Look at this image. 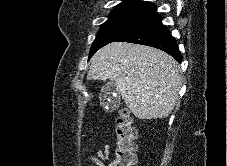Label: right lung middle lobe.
Returning a JSON list of instances; mask_svg holds the SVG:
<instances>
[{"label":"right lung middle lobe","mask_w":227,"mask_h":166,"mask_svg":"<svg viewBox=\"0 0 227 166\" xmlns=\"http://www.w3.org/2000/svg\"><path fill=\"white\" fill-rule=\"evenodd\" d=\"M155 6L117 5L109 19L102 24L92 44L89 58L101 47L125 35L156 11Z\"/></svg>","instance_id":"1"}]
</instances>
